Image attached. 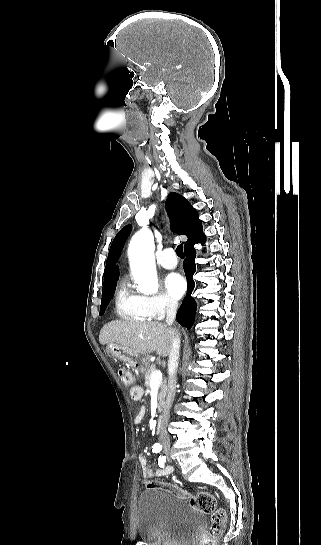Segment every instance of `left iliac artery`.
<instances>
[{"mask_svg": "<svg viewBox=\"0 0 321 545\" xmlns=\"http://www.w3.org/2000/svg\"><path fill=\"white\" fill-rule=\"evenodd\" d=\"M165 462H166V457H165L164 455L160 456V457H159V460H158L159 466L163 468Z\"/></svg>", "mask_w": 321, "mask_h": 545, "instance_id": "left-iliac-artery-1", "label": "left iliac artery"}]
</instances>
